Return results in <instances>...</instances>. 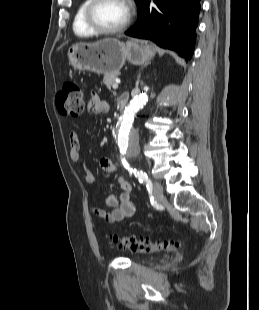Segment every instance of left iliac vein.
<instances>
[{"mask_svg": "<svg viewBox=\"0 0 259 310\" xmlns=\"http://www.w3.org/2000/svg\"><path fill=\"white\" fill-rule=\"evenodd\" d=\"M153 194L156 199H160L163 196V186L159 182L153 183Z\"/></svg>", "mask_w": 259, "mask_h": 310, "instance_id": "left-iliac-vein-1", "label": "left iliac vein"}]
</instances>
